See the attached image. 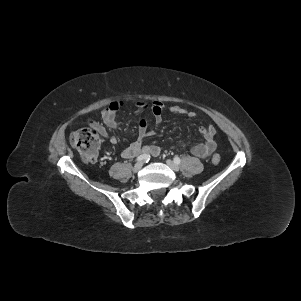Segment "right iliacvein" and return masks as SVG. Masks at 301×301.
<instances>
[{
    "label": "right iliac vein",
    "instance_id": "1",
    "mask_svg": "<svg viewBox=\"0 0 301 301\" xmlns=\"http://www.w3.org/2000/svg\"><path fill=\"white\" fill-rule=\"evenodd\" d=\"M142 166H143V162H142V161L137 162V163L134 165V167H133V172H134V173L139 172V171L141 170Z\"/></svg>",
    "mask_w": 301,
    "mask_h": 301
}]
</instances>
